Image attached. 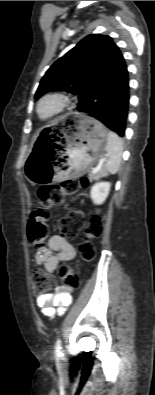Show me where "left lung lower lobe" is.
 <instances>
[{"label":"left lung lower lobe","instance_id":"1","mask_svg":"<svg viewBox=\"0 0 155 395\" xmlns=\"http://www.w3.org/2000/svg\"><path fill=\"white\" fill-rule=\"evenodd\" d=\"M129 74L123 59L108 71L80 110L123 137L129 109Z\"/></svg>","mask_w":155,"mask_h":395}]
</instances>
